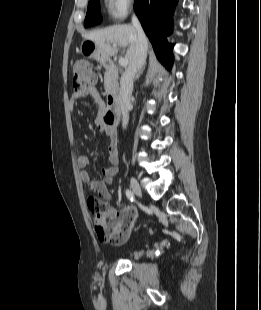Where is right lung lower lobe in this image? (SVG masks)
<instances>
[{
  "instance_id": "right-lung-lower-lobe-1",
  "label": "right lung lower lobe",
  "mask_w": 261,
  "mask_h": 310,
  "mask_svg": "<svg viewBox=\"0 0 261 310\" xmlns=\"http://www.w3.org/2000/svg\"><path fill=\"white\" fill-rule=\"evenodd\" d=\"M178 0H135V12L152 43L158 59L172 67L173 44L167 42L172 32V15Z\"/></svg>"
}]
</instances>
